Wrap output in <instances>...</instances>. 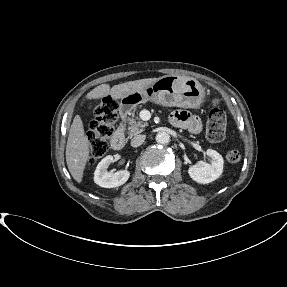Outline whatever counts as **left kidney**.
I'll list each match as a JSON object with an SVG mask.
<instances>
[{"label":"left kidney","mask_w":287,"mask_h":287,"mask_svg":"<svg viewBox=\"0 0 287 287\" xmlns=\"http://www.w3.org/2000/svg\"><path fill=\"white\" fill-rule=\"evenodd\" d=\"M206 154L211 158V163L199 161L188 169L190 177L201 184L213 182L223 172V157L213 149H207Z\"/></svg>","instance_id":"1"}]
</instances>
